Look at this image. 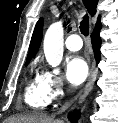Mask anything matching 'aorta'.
<instances>
[{
	"label": "aorta",
	"mask_w": 118,
	"mask_h": 123,
	"mask_svg": "<svg viewBox=\"0 0 118 123\" xmlns=\"http://www.w3.org/2000/svg\"><path fill=\"white\" fill-rule=\"evenodd\" d=\"M63 26L61 22L52 24L46 31L44 37V54L49 65L57 67L63 58ZM59 74V69H54Z\"/></svg>",
	"instance_id": "obj_1"
}]
</instances>
